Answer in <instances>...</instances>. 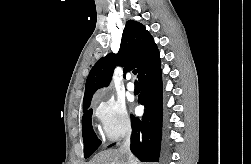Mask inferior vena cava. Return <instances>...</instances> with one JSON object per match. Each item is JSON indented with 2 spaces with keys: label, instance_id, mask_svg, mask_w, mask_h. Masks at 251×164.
<instances>
[{
  "label": "inferior vena cava",
  "instance_id": "602c4592",
  "mask_svg": "<svg viewBox=\"0 0 251 164\" xmlns=\"http://www.w3.org/2000/svg\"><path fill=\"white\" fill-rule=\"evenodd\" d=\"M121 148L127 153L130 152V131L127 133ZM128 159L130 164H135L133 156L129 153Z\"/></svg>",
  "mask_w": 251,
  "mask_h": 164
}]
</instances>
